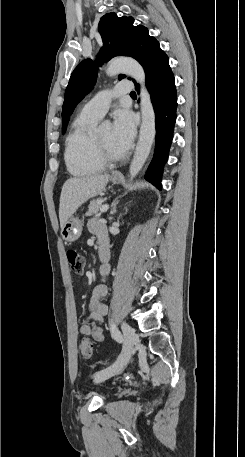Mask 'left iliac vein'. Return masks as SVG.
I'll list each match as a JSON object with an SVG mask.
<instances>
[{
    "label": "left iliac vein",
    "instance_id": "4c4485c4",
    "mask_svg": "<svg viewBox=\"0 0 245 457\" xmlns=\"http://www.w3.org/2000/svg\"><path fill=\"white\" fill-rule=\"evenodd\" d=\"M122 331H123V338H124V345L122 352L118 359L112 364L110 367L105 368L102 371H99L98 373L95 374V380L97 381H105L108 378L118 374L124 366L129 362L131 356H132V351H133V344L135 341V331L134 329L127 324L126 322H123L121 325Z\"/></svg>",
    "mask_w": 245,
    "mask_h": 457
}]
</instances>
